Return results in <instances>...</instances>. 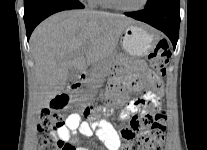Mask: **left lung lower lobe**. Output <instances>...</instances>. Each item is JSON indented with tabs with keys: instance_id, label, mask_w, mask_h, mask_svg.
<instances>
[{
	"instance_id": "obj_1",
	"label": "left lung lower lobe",
	"mask_w": 207,
	"mask_h": 150,
	"mask_svg": "<svg viewBox=\"0 0 207 150\" xmlns=\"http://www.w3.org/2000/svg\"><path fill=\"white\" fill-rule=\"evenodd\" d=\"M125 14L164 32L175 49L179 35L180 0H161L141 11Z\"/></svg>"
}]
</instances>
